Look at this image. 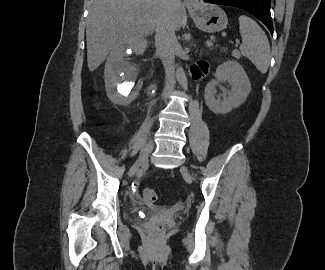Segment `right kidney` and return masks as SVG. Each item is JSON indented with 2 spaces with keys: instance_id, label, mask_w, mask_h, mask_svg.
Here are the masks:
<instances>
[{
  "instance_id": "right-kidney-1",
  "label": "right kidney",
  "mask_w": 325,
  "mask_h": 270,
  "mask_svg": "<svg viewBox=\"0 0 325 270\" xmlns=\"http://www.w3.org/2000/svg\"><path fill=\"white\" fill-rule=\"evenodd\" d=\"M133 54L140 55L141 52L132 44L121 43L114 47L107 59L105 87L108 98L114 104L128 105L143 86L142 75L146 67L140 62H132L129 57Z\"/></svg>"
}]
</instances>
